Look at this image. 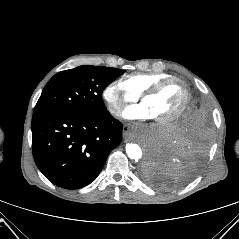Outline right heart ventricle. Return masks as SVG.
<instances>
[{
  "label": "right heart ventricle",
  "instance_id": "e07e8e85",
  "mask_svg": "<svg viewBox=\"0 0 239 239\" xmlns=\"http://www.w3.org/2000/svg\"><path fill=\"white\" fill-rule=\"evenodd\" d=\"M171 77L166 73H135L124 78L123 83L130 90L138 95H141L147 88L153 84Z\"/></svg>",
  "mask_w": 239,
  "mask_h": 239
}]
</instances>
